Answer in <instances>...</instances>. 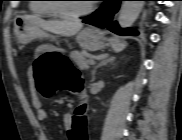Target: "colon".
I'll return each mask as SVG.
<instances>
[{"label":"colon","mask_w":182,"mask_h":140,"mask_svg":"<svg viewBox=\"0 0 182 140\" xmlns=\"http://www.w3.org/2000/svg\"><path fill=\"white\" fill-rule=\"evenodd\" d=\"M37 91L50 97L58 91H70L79 97L71 115L68 128L69 140H89L88 103L83 91L79 72L65 56L49 55L38 57L32 67Z\"/></svg>","instance_id":"5ec220e1"}]
</instances>
